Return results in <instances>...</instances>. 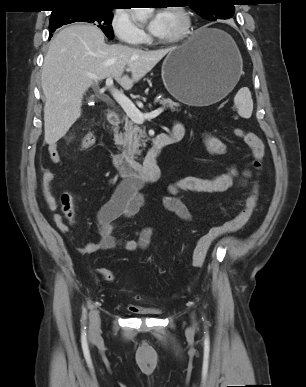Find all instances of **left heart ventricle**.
Masks as SVG:
<instances>
[{
	"label": "left heart ventricle",
	"mask_w": 306,
	"mask_h": 387,
	"mask_svg": "<svg viewBox=\"0 0 306 387\" xmlns=\"http://www.w3.org/2000/svg\"><path fill=\"white\" fill-rule=\"evenodd\" d=\"M164 12V17H165V27L160 36L158 38L164 39L168 38L175 33L178 32L181 26V20L180 17L172 12V11H163Z\"/></svg>",
	"instance_id": "b2bd125f"
}]
</instances>
